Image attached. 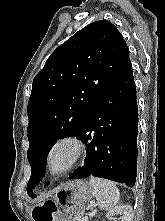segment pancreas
Returning <instances> with one entry per match:
<instances>
[{
	"label": "pancreas",
	"mask_w": 165,
	"mask_h": 221,
	"mask_svg": "<svg viewBox=\"0 0 165 221\" xmlns=\"http://www.w3.org/2000/svg\"><path fill=\"white\" fill-rule=\"evenodd\" d=\"M83 216H84V211H81L74 216L72 221H84Z\"/></svg>",
	"instance_id": "1"
}]
</instances>
